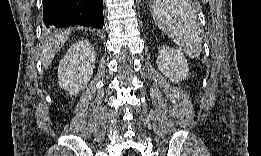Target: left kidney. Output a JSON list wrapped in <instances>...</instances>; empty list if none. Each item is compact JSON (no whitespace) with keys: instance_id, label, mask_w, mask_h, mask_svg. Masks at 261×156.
<instances>
[{"instance_id":"5707ae66","label":"left kidney","mask_w":261,"mask_h":156,"mask_svg":"<svg viewBox=\"0 0 261 156\" xmlns=\"http://www.w3.org/2000/svg\"><path fill=\"white\" fill-rule=\"evenodd\" d=\"M158 69L171 81L178 83L189 74V67L185 56L177 49L163 47L158 52Z\"/></svg>"}]
</instances>
